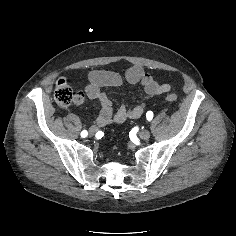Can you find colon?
Segmentation results:
<instances>
[{"mask_svg":"<svg viewBox=\"0 0 236 236\" xmlns=\"http://www.w3.org/2000/svg\"><path fill=\"white\" fill-rule=\"evenodd\" d=\"M178 97L179 96L177 93H169L166 95L165 99L168 102H175L178 100ZM54 99L56 103L61 107H67L72 103L74 95L65 80H59L56 83L54 89Z\"/></svg>","mask_w":236,"mask_h":236,"instance_id":"colon-1","label":"colon"}]
</instances>
